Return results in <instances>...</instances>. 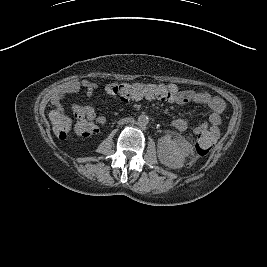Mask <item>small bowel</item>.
<instances>
[{"instance_id": "c3829d8e", "label": "small bowel", "mask_w": 267, "mask_h": 267, "mask_svg": "<svg viewBox=\"0 0 267 267\" xmlns=\"http://www.w3.org/2000/svg\"><path fill=\"white\" fill-rule=\"evenodd\" d=\"M96 89L97 85L94 82L82 80L81 82H74L67 86L64 90V94L68 95L83 91L88 97H92ZM173 102L177 104L196 103L205 106L210 111L208 120L197 125L193 131L195 134L208 133L213 137L214 141L219 138L220 125L222 122L221 115L226 107L225 102L222 99L213 96L208 92L186 89L178 90V97ZM61 104L62 98L61 96H57L53 105L56 108H59ZM70 110L73 113L80 110L85 118L86 126L83 127L79 123L76 124V131L79 134L83 135L87 130L91 132L90 135L96 134L99 131L100 126L104 124V119L102 117H97L94 108L91 106L71 105ZM56 113V111H53L51 117ZM172 126L179 131H184L189 127V120L186 118H177L172 121Z\"/></svg>"}]
</instances>
